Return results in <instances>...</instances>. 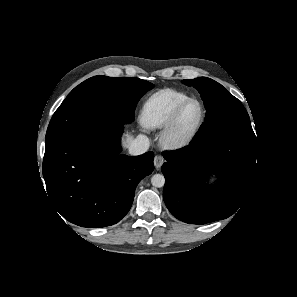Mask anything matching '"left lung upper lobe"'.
I'll return each mask as SVG.
<instances>
[{"label":"left lung upper lobe","instance_id":"left-lung-upper-lobe-1","mask_svg":"<svg viewBox=\"0 0 297 297\" xmlns=\"http://www.w3.org/2000/svg\"><path fill=\"white\" fill-rule=\"evenodd\" d=\"M182 82L198 90L207 110L205 121L193 140L235 136L256 143L246 109L241 101L231 95L221 84L207 77Z\"/></svg>","mask_w":297,"mask_h":297}]
</instances>
